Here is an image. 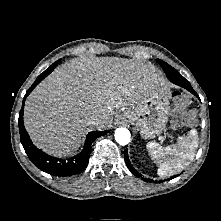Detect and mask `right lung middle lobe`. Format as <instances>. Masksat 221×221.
Returning <instances> with one entry per match:
<instances>
[{
  "label": "right lung middle lobe",
  "mask_w": 221,
  "mask_h": 221,
  "mask_svg": "<svg viewBox=\"0 0 221 221\" xmlns=\"http://www.w3.org/2000/svg\"><path fill=\"white\" fill-rule=\"evenodd\" d=\"M59 62H60V60L56 61V62L53 63L48 69H53V68H55V67L58 65Z\"/></svg>",
  "instance_id": "dd1d6c3e"
}]
</instances>
